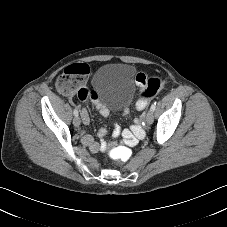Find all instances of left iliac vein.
I'll use <instances>...</instances> for the list:
<instances>
[{
    "label": "left iliac vein",
    "mask_w": 227,
    "mask_h": 227,
    "mask_svg": "<svg viewBox=\"0 0 227 227\" xmlns=\"http://www.w3.org/2000/svg\"><path fill=\"white\" fill-rule=\"evenodd\" d=\"M153 120H154L153 112L150 110L146 115L145 122L147 125H151L153 123Z\"/></svg>",
    "instance_id": "4c4485c4"
}]
</instances>
